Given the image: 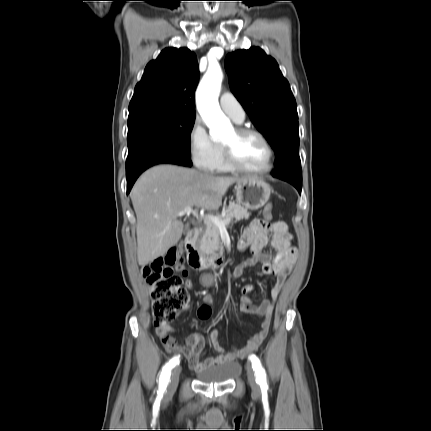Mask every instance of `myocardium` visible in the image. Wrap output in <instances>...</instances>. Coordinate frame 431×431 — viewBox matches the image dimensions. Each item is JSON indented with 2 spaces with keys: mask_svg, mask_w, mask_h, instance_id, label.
<instances>
[{
  "mask_svg": "<svg viewBox=\"0 0 431 431\" xmlns=\"http://www.w3.org/2000/svg\"><path fill=\"white\" fill-rule=\"evenodd\" d=\"M234 130L236 135L239 137L246 136V135L257 136L263 142V144L265 145L268 151V162L264 167L258 168V169L245 167L237 160L234 154L233 148L223 143L224 155L229 167L234 171L241 172V173H250V174H261V173H266L270 171L274 166L275 152L267 137L259 130L250 128V127H237Z\"/></svg>",
  "mask_w": 431,
  "mask_h": 431,
  "instance_id": "f54148a6",
  "label": "myocardium"
}]
</instances>
